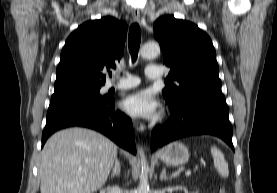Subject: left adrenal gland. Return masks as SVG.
I'll return each mask as SVG.
<instances>
[{"label": "left adrenal gland", "mask_w": 277, "mask_h": 193, "mask_svg": "<svg viewBox=\"0 0 277 193\" xmlns=\"http://www.w3.org/2000/svg\"><path fill=\"white\" fill-rule=\"evenodd\" d=\"M169 179H170V177H168V176L166 175V169L164 168V169L162 170L161 174H160V180L163 181V180H169Z\"/></svg>", "instance_id": "1"}]
</instances>
